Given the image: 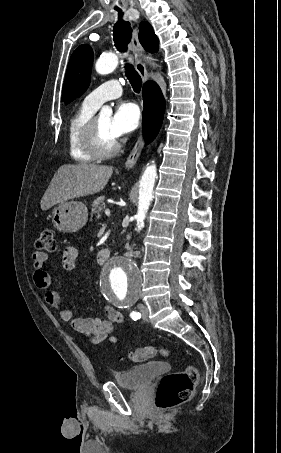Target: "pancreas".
Here are the masks:
<instances>
[{
    "mask_svg": "<svg viewBox=\"0 0 281 453\" xmlns=\"http://www.w3.org/2000/svg\"><path fill=\"white\" fill-rule=\"evenodd\" d=\"M91 206V216H94L95 214L96 218H101L102 212L105 208L104 196H98V198L92 202Z\"/></svg>",
    "mask_w": 281,
    "mask_h": 453,
    "instance_id": "obj_1",
    "label": "pancreas"
}]
</instances>
